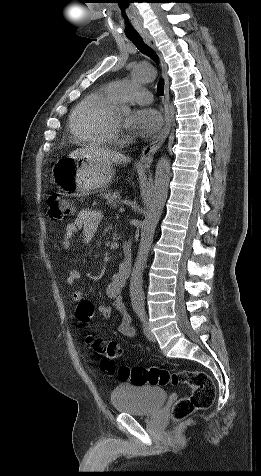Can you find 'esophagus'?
<instances>
[{"label":"esophagus","instance_id":"1","mask_svg":"<svg viewBox=\"0 0 261 476\" xmlns=\"http://www.w3.org/2000/svg\"><path fill=\"white\" fill-rule=\"evenodd\" d=\"M143 40L152 48L154 49L157 54L159 55L160 61H161V67H162V76L164 79V126L159 132V134L155 137V139L146 145L143 150L142 154L139 160V165L140 166H150L155 153L160 149L164 141L166 140L170 129H171V117H170V112H169V77L167 74V65L162 59L161 55L158 53L157 47L155 45L154 39L149 35V34H143L142 35Z\"/></svg>","mask_w":261,"mask_h":476}]
</instances>
